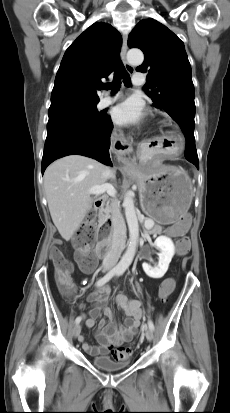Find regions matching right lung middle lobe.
Listing matches in <instances>:
<instances>
[{"instance_id": "obj_1", "label": "right lung middle lobe", "mask_w": 230, "mask_h": 413, "mask_svg": "<svg viewBox=\"0 0 230 413\" xmlns=\"http://www.w3.org/2000/svg\"><path fill=\"white\" fill-rule=\"evenodd\" d=\"M47 130L63 124H95L102 121L96 104H65L49 108Z\"/></svg>"}]
</instances>
